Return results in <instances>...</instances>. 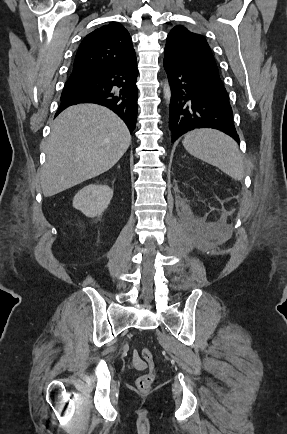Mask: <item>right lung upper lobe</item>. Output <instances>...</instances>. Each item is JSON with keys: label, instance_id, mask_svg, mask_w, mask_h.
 Instances as JSON below:
<instances>
[{"label": "right lung upper lobe", "instance_id": "1", "mask_svg": "<svg viewBox=\"0 0 287 434\" xmlns=\"http://www.w3.org/2000/svg\"><path fill=\"white\" fill-rule=\"evenodd\" d=\"M136 59L128 31L117 22L104 25L81 42L73 72L110 65L126 64Z\"/></svg>", "mask_w": 287, "mask_h": 434}]
</instances>
